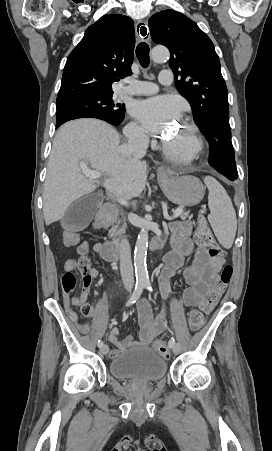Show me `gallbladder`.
Wrapping results in <instances>:
<instances>
[{"label": "gallbladder", "instance_id": "obj_1", "mask_svg": "<svg viewBox=\"0 0 272 451\" xmlns=\"http://www.w3.org/2000/svg\"><path fill=\"white\" fill-rule=\"evenodd\" d=\"M101 204L102 200L98 198V194H88L84 198H79L65 212V216L61 220V226L73 229V231L84 229L93 220Z\"/></svg>", "mask_w": 272, "mask_h": 451}]
</instances>
